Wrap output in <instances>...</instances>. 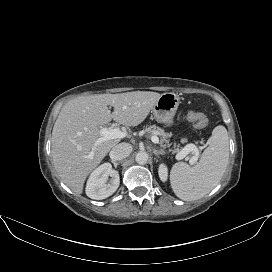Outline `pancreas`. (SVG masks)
<instances>
[{"instance_id": "1", "label": "pancreas", "mask_w": 272, "mask_h": 272, "mask_svg": "<svg viewBox=\"0 0 272 272\" xmlns=\"http://www.w3.org/2000/svg\"><path fill=\"white\" fill-rule=\"evenodd\" d=\"M145 131L149 134V135H155V136H160L161 137V142L165 143L169 146V137L171 136L169 133H166L163 129H161L160 127H157L156 125H152L149 127L145 128ZM166 146V145H163ZM188 146V145H187ZM186 146V147H187ZM185 147V148H186ZM173 154L175 153H179L182 150L177 146L175 149H169ZM193 153V151H191Z\"/></svg>"}]
</instances>
